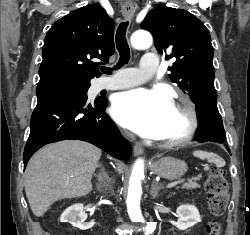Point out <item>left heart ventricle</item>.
I'll list each match as a JSON object with an SVG mask.
<instances>
[{
	"label": "left heart ventricle",
	"mask_w": 250,
	"mask_h": 235,
	"mask_svg": "<svg viewBox=\"0 0 250 235\" xmlns=\"http://www.w3.org/2000/svg\"><path fill=\"white\" fill-rule=\"evenodd\" d=\"M186 124L187 122L184 114L174 109L170 114L167 126L159 139H171L180 135L185 130Z\"/></svg>",
	"instance_id": "1"
}]
</instances>
